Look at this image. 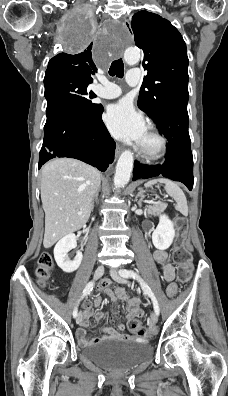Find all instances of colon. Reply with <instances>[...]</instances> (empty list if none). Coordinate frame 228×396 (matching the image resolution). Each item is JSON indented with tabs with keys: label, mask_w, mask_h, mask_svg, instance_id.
Wrapping results in <instances>:
<instances>
[{
	"label": "colon",
	"mask_w": 228,
	"mask_h": 396,
	"mask_svg": "<svg viewBox=\"0 0 228 396\" xmlns=\"http://www.w3.org/2000/svg\"><path fill=\"white\" fill-rule=\"evenodd\" d=\"M176 242L173 252V260L177 265V272L179 280L182 282L188 281L193 272L192 255L190 252V246L187 241V223L184 218H176ZM53 268V258L50 253L43 252L37 262L35 274L39 285L45 286L50 279ZM128 327L131 332L136 335L150 338L151 334L145 329V327L136 319H131L128 322Z\"/></svg>",
	"instance_id": "5ec220e1"
}]
</instances>
